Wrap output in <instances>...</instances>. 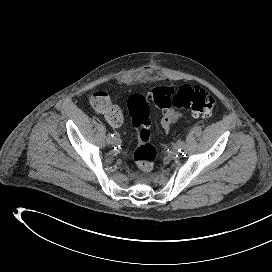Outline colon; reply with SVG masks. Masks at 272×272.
Listing matches in <instances>:
<instances>
[{"label": "colon", "instance_id": "obj_1", "mask_svg": "<svg viewBox=\"0 0 272 272\" xmlns=\"http://www.w3.org/2000/svg\"><path fill=\"white\" fill-rule=\"evenodd\" d=\"M92 103L104 108L107 100L102 94H95ZM150 105L161 109H186L193 115L210 117L215 110L214 97L200 86L183 85L175 90L169 86L156 87L146 95L135 93L127 101L131 124L137 132L138 144L133 152L136 167L149 172L154 168L158 150L150 141Z\"/></svg>", "mask_w": 272, "mask_h": 272}]
</instances>
